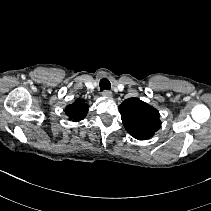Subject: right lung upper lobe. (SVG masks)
I'll return each instance as SVG.
<instances>
[{"label": "right lung upper lobe", "instance_id": "right-lung-upper-lobe-1", "mask_svg": "<svg viewBox=\"0 0 211 211\" xmlns=\"http://www.w3.org/2000/svg\"><path fill=\"white\" fill-rule=\"evenodd\" d=\"M88 107L83 99H77L73 104L66 107L65 112L70 120L77 122L85 118Z\"/></svg>", "mask_w": 211, "mask_h": 211}]
</instances>
